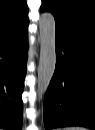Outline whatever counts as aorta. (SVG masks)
<instances>
[{
	"mask_svg": "<svg viewBox=\"0 0 95 130\" xmlns=\"http://www.w3.org/2000/svg\"><path fill=\"white\" fill-rule=\"evenodd\" d=\"M40 58L37 78V94L42 96L48 89L56 65L55 19L45 12L39 20Z\"/></svg>",
	"mask_w": 95,
	"mask_h": 130,
	"instance_id": "762f6f07",
	"label": "aorta"
}]
</instances>
